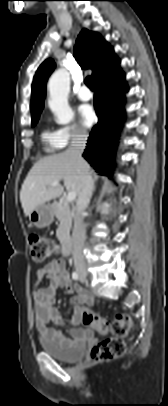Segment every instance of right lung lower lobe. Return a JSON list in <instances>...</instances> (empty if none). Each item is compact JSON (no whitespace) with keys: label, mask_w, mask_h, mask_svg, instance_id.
I'll return each instance as SVG.
<instances>
[{"label":"right lung lower lobe","mask_w":168,"mask_h":406,"mask_svg":"<svg viewBox=\"0 0 168 406\" xmlns=\"http://www.w3.org/2000/svg\"><path fill=\"white\" fill-rule=\"evenodd\" d=\"M94 106L99 118L93 127L83 157L99 172L111 176L117 136L123 120L124 73L117 68L95 83Z\"/></svg>","instance_id":"1"}]
</instances>
